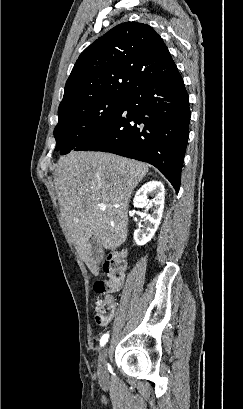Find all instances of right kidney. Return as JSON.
Listing matches in <instances>:
<instances>
[{"mask_svg":"<svg viewBox=\"0 0 243 409\" xmlns=\"http://www.w3.org/2000/svg\"><path fill=\"white\" fill-rule=\"evenodd\" d=\"M148 196L153 199L149 200ZM165 189L164 185L159 181H149L144 184L135 194L134 207L136 208H151L152 213L146 214L143 217L144 225L135 230L134 240L137 245H144L149 242L154 236L160 224L164 209Z\"/></svg>","mask_w":243,"mask_h":409,"instance_id":"obj_1","label":"right kidney"}]
</instances>
